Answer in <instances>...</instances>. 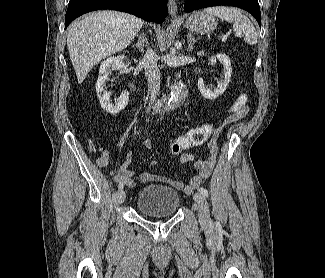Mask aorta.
Segmentation results:
<instances>
[{
    "mask_svg": "<svg viewBox=\"0 0 325 278\" xmlns=\"http://www.w3.org/2000/svg\"><path fill=\"white\" fill-rule=\"evenodd\" d=\"M183 89H184V84L182 82L177 83L173 87V89L171 91V97H170V100L168 103V108L174 107L178 103L179 98L183 92ZM161 115H162V113H161Z\"/></svg>",
    "mask_w": 325,
    "mask_h": 278,
    "instance_id": "obj_1",
    "label": "aorta"
}]
</instances>
